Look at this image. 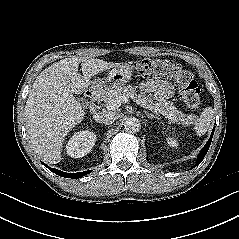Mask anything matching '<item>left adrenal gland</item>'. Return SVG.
<instances>
[{
    "mask_svg": "<svg viewBox=\"0 0 239 239\" xmlns=\"http://www.w3.org/2000/svg\"><path fill=\"white\" fill-rule=\"evenodd\" d=\"M145 114H146V116H147L148 118H150V119H153V118H155V119L159 120V117H158V116H155V115H153L152 113L145 112Z\"/></svg>",
    "mask_w": 239,
    "mask_h": 239,
    "instance_id": "left-adrenal-gland-1",
    "label": "left adrenal gland"
}]
</instances>
